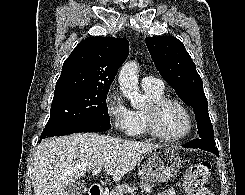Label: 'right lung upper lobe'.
<instances>
[{"mask_svg":"<svg viewBox=\"0 0 245 195\" xmlns=\"http://www.w3.org/2000/svg\"><path fill=\"white\" fill-rule=\"evenodd\" d=\"M128 54L129 42L126 39L102 36L86 38L64 62L55 92L86 88L109 90Z\"/></svg>","mask_w":245,"mask_h":195,"instance_id":"right-lung-upper-lobe-1","label":"right lung upper lobe"}]
</instances>
